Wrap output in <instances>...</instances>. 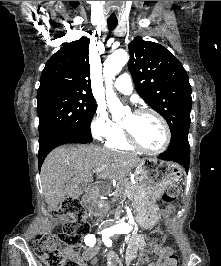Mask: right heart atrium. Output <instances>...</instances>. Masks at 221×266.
Wrapping results in <instances>:
<instances>
[{
	"mask_svg": "<svg viewBox=\"0 0 221 266\" xmlns=\"http://www.w3.org/2000/svg\"><path fill=\"white\" fill-rule=\"evenodd\" d=\"M119 126L108 116L102 106H97L90 123L92 136L99 141L107 140L118 131Z\"/></svg>",
	"mask_w": 221,
	"mask_h": 266,
	"instance_id": "1",
	"label": "right heart atrium"
}]
</instances>
